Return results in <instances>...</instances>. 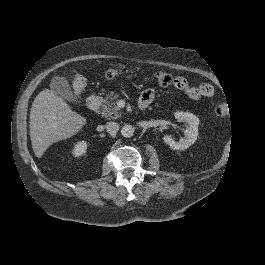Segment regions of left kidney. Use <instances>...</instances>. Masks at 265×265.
Instances as JSON below:
<instances>
[{
	"label": "left kidney",
	"mask_w": 265,
	"mask_h": 265,
	"mask_svg": "<svg viewBox=\"0 0 265 265\" xmlns=\"http://www.w3.org/2000/svg\"><path fill=\"white\" fill-rule=\"evenodd\" d=\"M174 116L178 122H185L187 124V128L184 131L185 137L177 143L171 135L165 134L162 140L174 150H185L192 146L198 139L199 119L191 113L184 112H177Z\"/></svg>",
	"instance_id": "1"
}]
</instances>
